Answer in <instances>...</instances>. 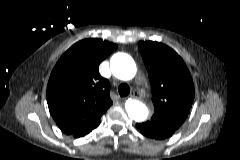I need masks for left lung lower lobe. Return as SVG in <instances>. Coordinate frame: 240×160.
<instances>
[{
  "instance_id": "obj_1",
  "label": "left lung lower lobe",
  "mask_w": 240,
  "mask_h": 160,
  "mask_svg": "<svg viewBox=\"0 0 240 160\" xmlns=\"http://www.w3.org/2000/svg\"><path fill=\"white\" fill-rule=\"evenodd\" d=\"M137 128L141 131L143 135L149 138H153L156 140L166 139L172 136V134L155 124L151 123L150 121L143 122L140 124H136Z\"/></svg>"
}]
</instances>
